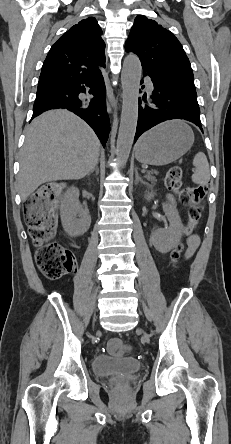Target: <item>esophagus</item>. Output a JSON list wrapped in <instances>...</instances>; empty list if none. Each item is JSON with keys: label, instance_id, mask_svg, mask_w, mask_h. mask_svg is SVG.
<instances>
[{"label": "esophagus", "instance_id": "esophagus-1", "mask_svg": "<svg viewBox=\"0 0 231 444\" xmlns=\"http://www.w3.org/2000/svg\"><path fill=\"white\" fill-rule=\"evenodd\" d=\"M112 102H113V99L108 96L107 97V111L109 113L112 112Z\"/></svg>", "mask_w": 231, "mask_h": 444}]
</instances>
